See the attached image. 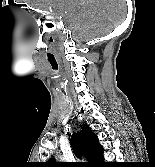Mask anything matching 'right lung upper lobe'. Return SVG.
I'll return each mask as SVG.
<instances>
[{
    "label": "right lung upper lobe",
    "mask_w": 155,
    "mask_h": 167,
    "mask_svg": "<svg viewBox=\"0 0 155 167\" xmlns=\"http://www.w3.org/2000/svg\"><path fill=\"white\" fill-rule=\"evenodd\" d=\"M71 144L75 154L80 156L84 153L87 156L89 162L80 163L85 167H102L106 164L103 162V148L98 142V137L87 124L83 125L80 132L73 134ZM59 165L60 163L55 162L54 159L44 164L45 167H58Z\"/></svg>",
    "instance_id": "right-lung-upper-lobe-1"
}]
</instances>
